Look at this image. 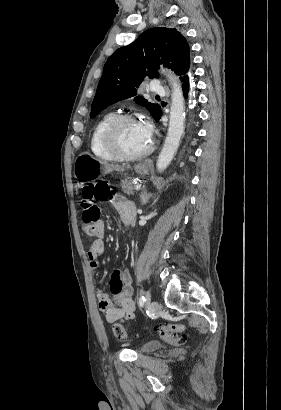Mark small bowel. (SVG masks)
<instances>
[{"instance_id": "obj_1", "label": "small bowel", "mask_w": 281, "mask_h": 410, "mask_svg": "<svg viewBox=\"0 0 281 410\" xmlns=\"http://www.w3.org/2000/svg\"><path fill=\"white\" fill-rule=\"evenodd\" d=\"M111 203L120 215L124 225H134L135 206L130 200L116 195ZM105 222L100 220L96 224L95 235L97 239L92 241L88 250V259L91 268L96 271L99 268V258L105 253V245L102 238L105 236ZM132 277L129 270L115 269L110 278L111 297L102 290L97 291L99 308L108 322L135 317V303L132 300Z\"/></svg>"}]
</instances>
